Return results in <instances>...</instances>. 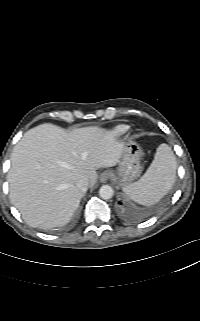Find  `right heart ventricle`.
Returning <instances> with one entry per match:
<instances>
[{"mask_svg": "<svg viewBox=\"0 0 200 321\" xmlns=\"http://www.w3.org/2000/svg\"><path fill=\"white\" fill-rule=\"evenodd\" d=\"M129 130V126L126 124H119L114 127H112L109 131L108 134L111 137H119L124 135L127 131Z\"/></svg>", "mask_w": 200, "mask_h": 321, "instance_id": "right-heart-ventricle-1", "label": "right heart ventricle"}]
</instances>
